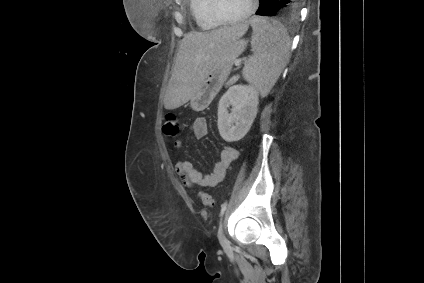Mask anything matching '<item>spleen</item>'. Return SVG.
Listing matches in <instances>:
<instances>
[{
  "label": "spleen",
  "instance_id": "obj_1",
  "mask_svg": "<svg viewBox=\"0 0 424 283\" xmlns=\"http://www.w3.org/2000/svg\"><path fill=\"white\" fill-rule=\"evenodd\" d=\"M250 23L253 55L245 62L242 74L262 96H266L289 59L291 41L287 29L278 21L253 17Z\"/></svg>",
  "mask_w": 424,
  "mask_h": 283
}]
</instances>
